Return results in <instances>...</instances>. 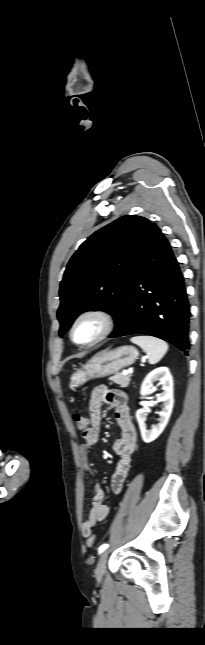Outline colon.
Instances as JSON below:
<instances>
[{
    "label": "colon",
    "instance_id": "5ec220e1",
    "mask_svg": "<svg viewBox=\"0 0 205 645\" xmlns=\"http://www.w3.org/2000/svg\"><path fill=\"white\" fill-rule=\"evenodd\" d=\"M73 420L76 428L81 432V434L83 436L86 435L90 425V417L80 413H75L73 416ZM95 541H96L95 535L90 534L87 538V546L90 548H93L95 546Z\"/></svg>",
    "mask_w": 205,
    "mask_h": 645
}]
</instances>
